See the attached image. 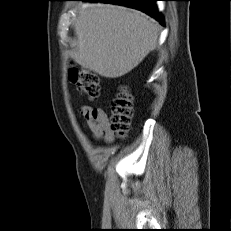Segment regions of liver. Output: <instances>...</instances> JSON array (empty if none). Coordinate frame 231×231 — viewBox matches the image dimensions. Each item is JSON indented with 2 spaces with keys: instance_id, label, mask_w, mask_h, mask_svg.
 I'll use <instances>...</instances> for the list:
<instances>
[{
  "instance_id": "1",
  "label": "liver",
  "mask_w": 231,
  "mask_h": 231,
  "mask_svg": "<svg viewBox=\"0 0 231 231\" xmlns=\"http://www.w3.org/2000/svg\"><path fill=\"white\" fill-rule=\"evenodd\" d=\"M72 58L85 69L118 78L137 67L158 42V24L145 13L103 3H79Z\"/></svg>"
}]
</instances>
